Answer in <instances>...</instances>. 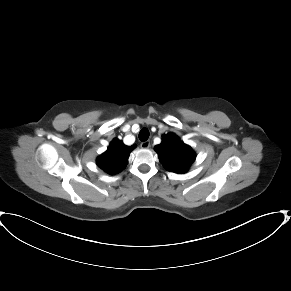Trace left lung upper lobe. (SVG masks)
Listing matches in <instances>:
<instances>
[{"instance_id":"obj_1","label":"left lung upper lobe","mask_w":291,"mask_h":291,"mask_svg":"<svg viewBox=\"0 0 291 291\" xmlns=\"http://www.w3.org/2000/svg\"><path fill=\"white\" fill-rule=\"evenodd\" d=\"M155 151L164 168L175 173L186 172L196 158L192 148L174 133L164 135L162 143L155 146Z\"/></svg>"}]
</instances>
